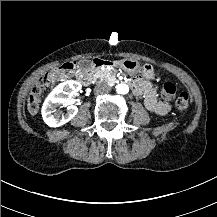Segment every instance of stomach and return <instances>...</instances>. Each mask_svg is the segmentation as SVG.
I'll return each mask as SVG.
<instances>
[{
    "mask_svg": "<svg viewBox=\"0 0 217 217\" xmlns=\"http://www.w3.org/2000/svg\"><path fill=\"white\" fill-rule=\"evenodd\" d=\"M119 67L128 74L140 73L145 79H154V68L151 64L140 65V63L131 58L122 59L119 61Z\"/></svg>",
    "mask_w": 217,
    "mask_h": 217,
    "instance_id": "0dacf381",
    "label": "stomach"
}]
</instances>
